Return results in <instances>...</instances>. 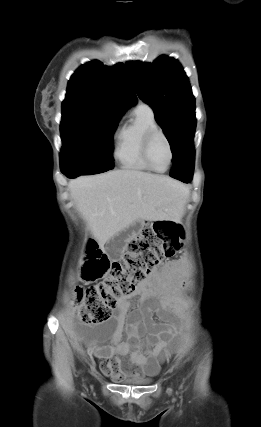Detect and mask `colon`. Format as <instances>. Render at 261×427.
Segmentation results:
<instances>
[{
    "label": "colon",
    "instance_id": "obj_1",
    "mask_svg": "<svg viewBox=\"0 0 261 427\" xmlns=\"http://www.w3.org/2000/svg\"><path fill=\"white\" fill-rule=\"evenodd\" d=\"M182 239L183 231L178 224L157 221L131 239L121 259L113 262L90 241L86 274L90 279L104 277V280L78 290V314L82 321L96 324L109 319L116 300L131 295L136 285L158 264L175 256L181 249Z\"/></svg>",
    "mask_w": 261,
    "mask_h": 427
}]
</instances>
